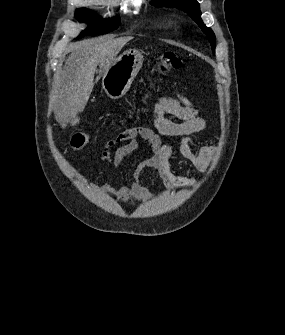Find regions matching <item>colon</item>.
<instances>
[{"instance_id":"colon-1","label":"colon","mask_w":285,"mask_h":335,"mask_svg":"<svg viewBox=\"0 0 285 335\" xmlns=\"http://www.w3.org/2000/svg\"><path fill=\"white\" fill-rule=\"evenodd\" d=\"M183 66V60L173 52H164L160 54L156 59V71L157 76L154 78L149 90L144 96L147 100L151 92L155 89L156 83L161 76L167 75L168 73L178 70ZM90 140V135L83 131L76 132L71 140L70 146L73 150L78 151L82 149Z\"/></svg>"}]
</instances>
